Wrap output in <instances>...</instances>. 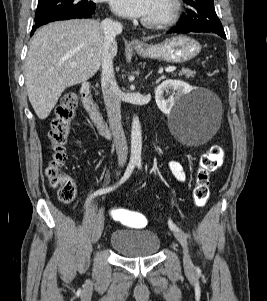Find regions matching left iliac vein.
I'll return each mask as SVG.
<instances>
[{"mask_svg": "<svg viewBox=\"0 0 267 301\" xmlns=\"http://www.w3.org/2000/svg\"><path fill=\"white\" fill-rule=\"evenodd\" d=\"M172 231H173L175 238L178 240V242L182 245V247L184 249L183 262H184V267H185L186 271L193 272L194 265H193L190 255H189L188 245H187V240H186L185 234L180 229L172 230Z\"/></svg>", "mask_w": 267, "mask_h": 301, "instance_id": "obj_1", "label": "left iliac vein"}]
</instances>
